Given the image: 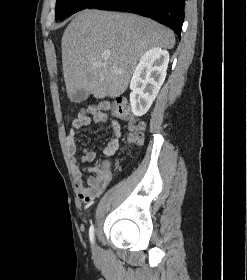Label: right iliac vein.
<instances>
[{"mask_svg": "<svg viewBox=\"0 0 247 280\" xmlns=\"http://www.w3.org/2000/svg\"><path fill=\"white\" fill-rule=\"evenodd\" d=\"M93 250H94V252H96V247L95 246H94Z\"/></svg>", "mask_w": 247, "mask_h": 280, "instance_id": "obj_1", "label": "right iliac vein"}]
</instances>
